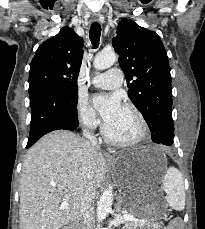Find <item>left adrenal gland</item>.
Listing matches in <instances>:
<instances>
[{"mask_svg":"<svg viewBox=\"0 0 205 229\" xmlns=\"http://www.w3.org/2000/svg\"><path fill=\"white\" fill-rule=\"evenodd\" d=\"M121 204H122V201L119 200V202H118V204H117V206H116V212H118V213L120 212Z\"/></svg>","mask_w":205,"mask_h":229,"instance_id":"a2214340","label":"left adrenal gland"}]
</instances>
